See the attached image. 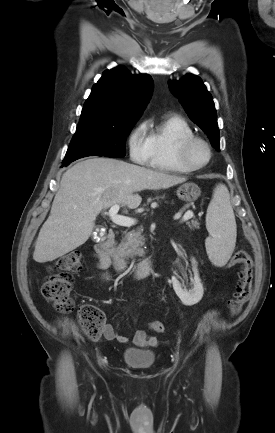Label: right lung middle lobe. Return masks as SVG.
Here are the masks:
<instances>
[{
	"label": "right lung middle lobe",
	"instance_id": "right-lung-middle-lobe-1",
	"mask_svg": "<svg viewBox=\"0 0 275 433\" xmlns=\"http://www.w3.org/2000/svg\"><path fill=\"white\" fill-rule=\"evenodd\" d=\"M136 121L120 123L79 122L62 167L87 156L124 157L126 154L125 140Z\"/></svg>",
	"mask_w": 275,
	"mask_h": 433
}]
</instances>
